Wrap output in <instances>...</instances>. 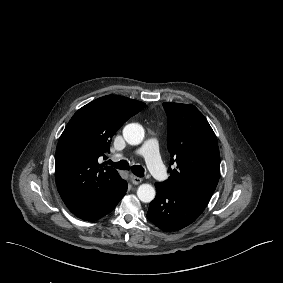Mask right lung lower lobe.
I'll list each match as a JSON object with an SVG mask.
<instances>
[{"instance_id": "right-lung-lower-lobe-1", "label": "right lung lower lobe", "mask_w": 283, "mask_h": 283, "mask_svg": "<svg viewBox=\"0 0 283 283\" xmlns=\"http://www.w3.org/2000/svg\"><path fill=\"white\" fill-rule=\"evenodd\" d=\"M127 191V182L124 181L122 184V187L120 191L112 196L109 200H107L105 203H103L101 206L83 213H77L75 214L77 217L86 220V221H95L100 219L101 217L107 215L110 213L116 205L119 203V201L123 198Z\"/></svg>"}]
</instances>
